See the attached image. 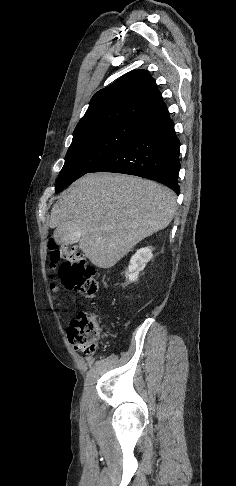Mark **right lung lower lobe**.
I'll return each mask as SVG.
<instances>
[{"label":"right lung lower lobe","mask_w":236,"mask_h":486,"mask_svg":"<svg viewBox=\"0 0 236 486\" xmlns=\"http://www.w3.org/2000/svg\"><path fill=\"white\" fill-rule=\"evenodd\" d=\"M180 142L167 109L144 118L136 134L89 171L135 175L162 183L177 194Z\"/></svg>","instance_id":"right-lung-lower-lobe-1"}]
</instances>
